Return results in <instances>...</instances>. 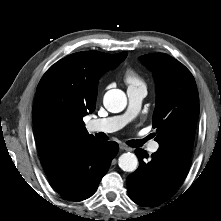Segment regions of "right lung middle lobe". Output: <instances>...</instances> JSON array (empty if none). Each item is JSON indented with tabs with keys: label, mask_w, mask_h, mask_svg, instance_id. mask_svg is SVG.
<instances>
[{
	"label": "right lung middle lobe",
	"mask_w": 221,
	"mask_h": 221,
	"mask_svg": "<svg viewBox=\"0 0 221 221\" xmlns=\"http://www.w3.org/2000/svg\"><path fill=\"white\" fill-rule=\"evenodd\" d=\"M47 83H48L49 85H52V83H51L50 81H47Z\"/></svg>",
	"instance_id": "dd1d6c3e"
}]
</instances>
